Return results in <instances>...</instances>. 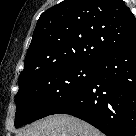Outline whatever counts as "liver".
I'll list each match as a JSON object with an SVG mask.
<instances>
[{"mask_svg": "<svg viewBox=\"0 0 136 136\" xmlns=\"http://www.w3.org/2000/svg\"><path fill=\"white\" fill-rule=\"evenodd\" d=\"M18 136H102L88 123L69 115H51L27 126Z\"/></svg>", "mask_w": 136, "mask_h": 136, "instance_id": "6515ba94", "label": "liver"}]
</instances>
